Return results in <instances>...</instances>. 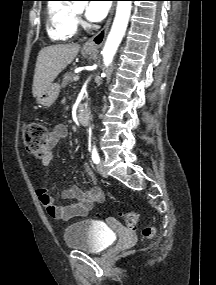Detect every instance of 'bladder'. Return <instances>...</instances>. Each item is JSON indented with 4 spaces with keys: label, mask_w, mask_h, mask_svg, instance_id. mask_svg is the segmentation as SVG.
I'll list each match as a JSON object with an SVG mask.
<instances>
[{
    "label": "bladder",
    "mask_w": 216,
    "mask_h": 285,
    "mask_svg": "<svg viewBox=\"0 0 216 285\" xmlns=\"http://www.w3.org/2000/svg\"><path fill=\"white\" fill-rule=\"evenodd\" d=\"M64 240L71 249L98 254L113 243L114 236L103 224L92 220H80L65 228Z\"/></svg>",
    "instance_id": "31cf9c89"
}]
</instances>
